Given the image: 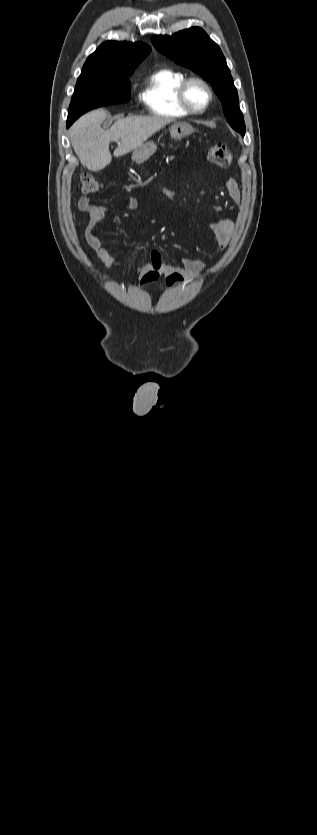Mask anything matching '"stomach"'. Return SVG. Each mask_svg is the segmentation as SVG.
<instances>
[{
    "instance_id": "stomach-1",
    "label": "stomach",
    "mask_w": 317,
    "mask_h": 835,
    "mask_svg": "<svg viewBox=\"0 0 317 835\" xmlns=\"http://www.w3.org/2000/svg\"><path fill=\"white\" fill-rule=\"evenodd\" d=\"M194 132V128L185 122H177L171 125L170 133L175 139H182ZM157 150V145L153 141L143 143L138 149L133 152L132 159L136 163H142L148 160Z\"/></svg>"
}]
</instances>
